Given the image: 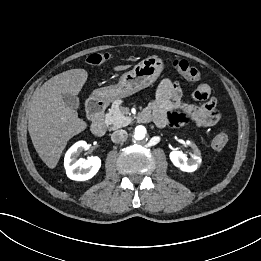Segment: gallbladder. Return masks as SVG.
<instances>
[{
    "label": "gallbladder",
    "instance_id": "obj_1",
    "mask_svg": "<svg viewBox=\"0 0 261 261\" xmlns=\"http://www.w3.org/2000/svg\"><path fill=\"white\" fill-rule=\"evenodd\" d=\"M62 99L67 107L78 109L80 107L79 98L72 94H62Z\"/></svg>",
    "mask_w": 261,
    "mask_h": 261
}]
</instances>
